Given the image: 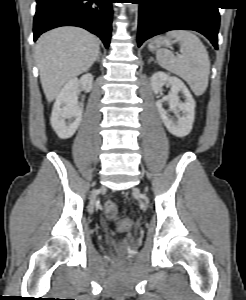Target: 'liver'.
I'll return each instance as SVG.
<instances>
[{
	"mask_svg": "<svg viewBox=\"0 0 246 300\" xmlns=\"http://www.w3.org/2000/svg\"><path fill=\"white\" fill-rule=\"evenodd\" d=\"M99 52L98 39L78 27L43 34L35 46V59L47 101H53L66 82L87 71Z\"/></svg>",
	"mask_w": 246,
	"mask_h": 300,
	"instance_id": "obj_1",
	"label": "liver"
}]
</instances>
